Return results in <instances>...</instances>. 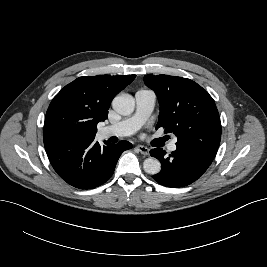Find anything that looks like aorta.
I'll use <instances>...</instances> for the list:
<instances>
[{"label": "aorta", "instance_id": "aorta-1", "mask_svg": "<svg viewBox=\"0 0 267 267\" xmlns=\"http://www.w3.org/2000/svg\"><path fill=\"white\" fill-rule=\"evenodd\" d=\"M112 107L120 115H130L134 111L135 101L130 95H119L113 99ZM143 168L146 173L155 175L160 172L161 163L158 159L149 157L144 160Z\"/></svg>", "mask_w": 267, "mask_h": 267}]
</instances>
